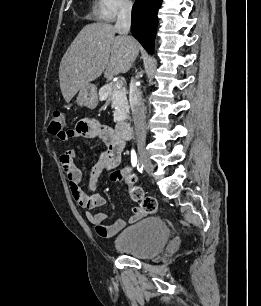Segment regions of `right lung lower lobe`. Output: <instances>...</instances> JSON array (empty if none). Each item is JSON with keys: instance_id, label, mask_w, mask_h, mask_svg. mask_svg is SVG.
Segmentation results:
<instances>
[{"instance_id": "98d812e1", "label": "right lung lower lobe", "mask_w": 261, "mask_h": 306, "mask_svg": "<svg viewBox=\"0 0 261 306\" xmlns=\"http://www.w3.org/2000/svg\"><path fill=\"white\" fill-rule=\"evenodd\" d=\"M161 3L162 0H136L132 8V34L149 53H153Z\"/></svg>"}]
</instances>
